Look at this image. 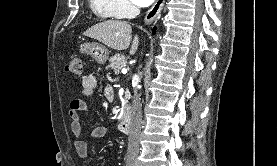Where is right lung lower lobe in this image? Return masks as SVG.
Wrapping results in <instances>:
<instances>
[{
  "instance_id": "right-lung-lower-lobe-1",
  "label": "right lung lower lobe",
  "mask_w": 277,
  "mask_h": 166,
  "mask_svg": "<svg viewBox=\"0 0 277 166\" xmlns=\"http://www.w3.org/2000/svg\"><path fill=\"white\" fill-rule=\"evenodd\" d=\"M155 30H156V28L154 27V29H153V34H155Z\"/></svg>"
}]
</instances>
